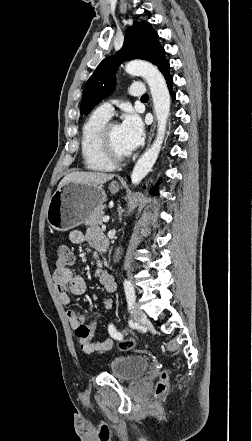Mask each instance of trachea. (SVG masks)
Returning <instances> with one entry per match:
<instances>
[{"instance_id": "trachea-1", "label": "trachea", "mask_w": 252, "mask_h": 441, "mask_svg": "<svg viewBox=\"0 0 252 441\" xmlns=\"http://www.w3.org/2000/svg\"><path fill=\"white\" fill-rule=\"evenodd\" d=\"M145 99H148V94H144V95L141 97V100H145Z\"/></svg>"}]
</instances>
